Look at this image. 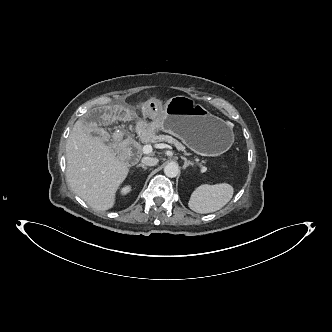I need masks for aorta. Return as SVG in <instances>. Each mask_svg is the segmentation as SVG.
<instances>
[{"mask_svg":"<svg viewBox=\"0 0 332 332\" xmlns=\"http://www.w3.org/2000/svg\"><path fill=\"white\" fill-rule=\"evenodd\" d=\"M164 174L169 178H174L179 174V167L175 163H168L164 167Z\"/></svg>","mask_w":332,"mask_h":332,"instance_id":"1","label":"aorta"}]
</instances>
